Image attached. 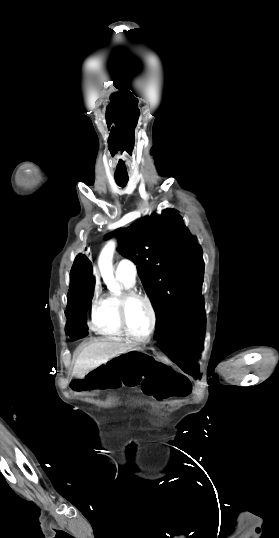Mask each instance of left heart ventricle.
Here are the masks:
<instances>
[{
    "mask_svg": "<svg viewBox=\"0 0 279 538\" xmlns=\"http://www.w3.org/2000/svg\"><path fill=\"white\" fill-rule=\"evenodd\" d=\"M103 210H111L114 207H99ZM98 222H102L101 216L97 217ZM127 323L130 331L137 336H144L148 333L151 325V313L148 306L140 300L133 301L127 309Z\"/></svg>",
    "mask_w": 279,
    "mask_h": 538,
    "instance_id": "1",
    "label": "left heart ventricle"
}]
</instances>
